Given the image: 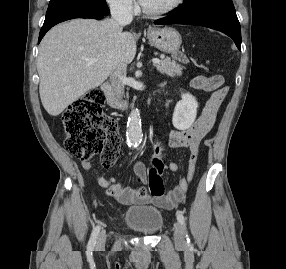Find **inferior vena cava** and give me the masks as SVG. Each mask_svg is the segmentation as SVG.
<instances>
[{
	"instance_id": "inferior-vena-cava-1",
	"label": "inferior vena cava",
	"mask_w": 286,
	"mask_h": 269,
	"mask_svg": "<svg viewBox=\"0 0 286 269\" xmlns=\"http://www.w3.org/2000/svg\"><path fill=\"white\" fill-rule=\"evenodd\" d=\"M112 19L117 22L119 26H125L132 22L133 15L129 6L124 4L114 5L111 8ZM127 65L122 64L117 67L111 74V83L116 95L121 98L124 95L125 79H126Z\"/></svg>"
}]
</instances>
